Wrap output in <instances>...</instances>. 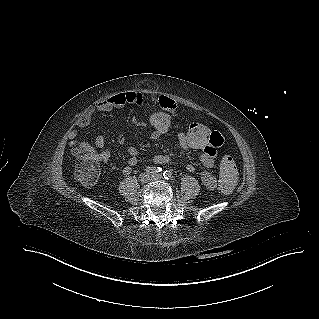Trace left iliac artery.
<instances>
[{
    "mask_svg": "<svg viewBox=\"0 0 319 319\" xmlns=\"http://www.w3.org/2000/svg\"><path fill=\"white\" fill-rule=\"evenodd\" d=\"M163 176L166 180H170L172 178V173L170 170H166L164 171Z\"/></svg>",
    "mask_w": 319,
    "mask_h": 319,
    "instance_id": "left-iliac-artery-1",
    "label": "left iliac artery"
}]
</instances>
